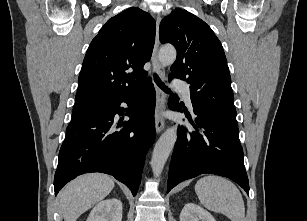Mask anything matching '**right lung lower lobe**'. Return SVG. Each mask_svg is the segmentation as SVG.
Instances as JSON below:
<instances>
[{"mask_svg":"<svg viewBox=\"0 0 307 221\" xmlns=\"http://www.w3.org/2000/svg\"><path fill=\"white\" fill-rule=\"evenodd\" d=\"M122 102L129 105L126 115L130 120L116 124L115 115L124 112ZM154 109V86L146 80L135 93L113 100L97 115L69 125L59 151L55 194L78 175L102 172L113 175L135 196L146 153L156 137Z\"/></svg>","mask_w":307,"mask_h":221,"instance_id":"obj_1","label":"right lung lower lobe"}]
</instances>
